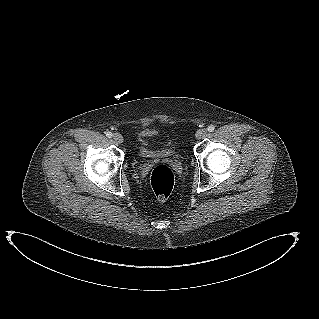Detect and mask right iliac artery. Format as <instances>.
I'll return each instance as SVG.
<instances>
[{
    "label": "right iliac artery",
    "instance_id": "82829eb1",
    "mask_svg": "<svg viewBox=\"0 0 319 319\" xmlns=\"http://www.w3.org/2000/svg\"><path fill=\"white\" fill-rule=\"evenodd\" d=\"M106 136H107L108 138H111V137L113 136V134L108 131V132H106Z\"/></svg>",
    "mask_w": 319,
    "mask_h": 319
}]
</instances>
